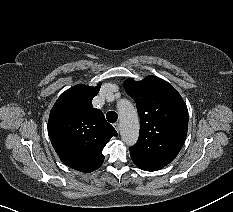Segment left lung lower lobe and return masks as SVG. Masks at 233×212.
I'll return each instance as SVG.
<instances>
[{"mask_svg":"<svg viewBox=\"0 0 233 212\" xmlns=\"http://www.w3.org/2000/svg\"><path fill=\"white\" fill-rule=\"evenodd\" d=\"M134 162V161H133ZM140 169L145 170V171H156L157 169H153L144 165H141L137 162H134Z\"/></svg>","mask_w":233,"mask_h":212,"instance_id":"1","label":"left lung lower lobe"}]
</instances>
